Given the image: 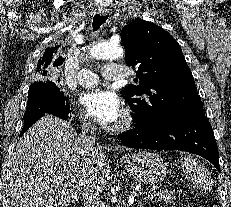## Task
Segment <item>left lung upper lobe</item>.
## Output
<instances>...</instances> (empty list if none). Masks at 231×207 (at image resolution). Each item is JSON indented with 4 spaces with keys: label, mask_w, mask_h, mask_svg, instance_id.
Segmentation results:
<instances>
[{
    "label": "left lung upper lobe",
    "mask_w": 231,
    "mask_h": 207,
    "mask_svg": "<svg viewBox=\"0 0 231 207\" xmlns=\"http://www.w3.org/2000/svg\"><path fill=\"white\" fill-rule=\"evenodd\" d=\"M121 41L127 65L138 68V85L124 89L136 124L152 128L179 113L203 108L181 47L168 32L137 20L122 29Z\"/></svg>",
    "instance_id": "1"
}]
</instances>
